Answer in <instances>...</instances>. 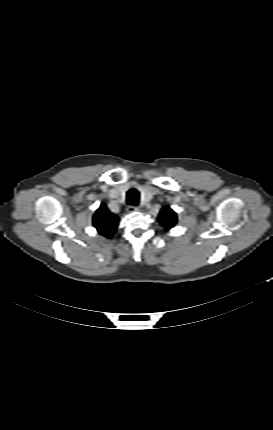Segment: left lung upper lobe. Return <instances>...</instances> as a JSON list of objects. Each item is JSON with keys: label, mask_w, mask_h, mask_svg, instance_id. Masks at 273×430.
<instances>
[{"label": "left lung upper lobe", "mask_w": 273, "mask_h": 430, "mask_svg": "<svg viewBox=\"0 0 273 430\" xmlns=\"http://www.w3.org/2000/svg\"><path fill=\"white\" fill-rule=\"evenodd\" d=\"M158 221L162 226L169 230L176 224L177 215L170 207L166 206L160 211Z\"/></svg>", "instance_id": "left-lung-upper-lobe-1"}]
</instances>
